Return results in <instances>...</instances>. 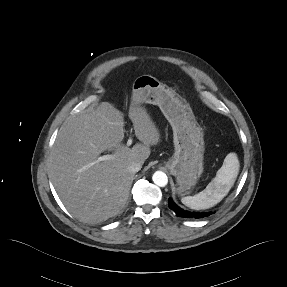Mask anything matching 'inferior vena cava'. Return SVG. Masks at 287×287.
Instances as JSON below:
<instances>
[{
    "label": "inferior vena cava",
    "instance_id": "1",
    "mask_svg": "<svg viewBox=\"0 0 287 287\" xmlns=\"http://www.w3.org/2000/svg\"><path fill=\"white\" fill-rule=\"evenodd\" d=\"M141 168H142V164L140 162H132L128 166V170L133 172V173L138 172L139 170H141Z\"/></svg>",
    "mask_w": 287,
    "mask_h": 287
}]
</instances>
